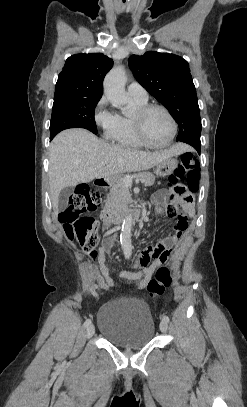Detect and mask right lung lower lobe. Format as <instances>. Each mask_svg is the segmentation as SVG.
Instances as JSON below:
<instances>
[{"mask_svg":"<svg viewBox=\"0 0 247 407\" xmlns=\"http://www.w3.org/2000/svg\"><path fill=\"white\" fill-rule=\"evenodd\" d=\"M53 139V137H50V140H52Z\"/></svg>","mask_w":247,"mask_h":407,"instance_id":"obj_1","label":"right lung lower lobe"}]
</instances>
